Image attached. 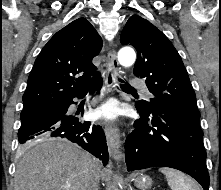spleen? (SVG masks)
<instances>
[{
  "instance_id": "1",
  "label": "spleen",
  "mask_w": 221,
  "mask_h": 190,
  "mask_svg": "<svg viewBox=\"0 0 221 190\" xmlns=\"http://www.w3.org/2000/svg\"><path fill=\"white\" fill-rule=\"evenodd\" d=\"M159 171L165 175L171 190H200L198 184L181 171L169 167H162Z\"/></svg>"
}]
</instances>
